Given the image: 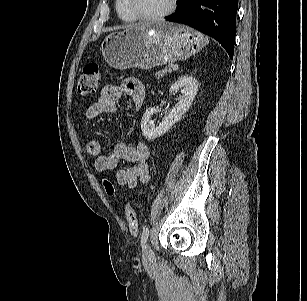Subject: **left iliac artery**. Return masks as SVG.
<instances>
[{"mask_svg":"<svg viewBox=\"0 0 307 301\" xmlns=\"http://www.w3.org/2000/svg\"><path fill=\"white\" fill-rule=\"evenodd\" d=\"M149 236V227L143 229L141 234V245L144 246Z\"/></svg>","mask_w":307,"mask_h":301,"instance_id":"left-iliac-artery-1","label":"left iliac artery"}]
</instances>
